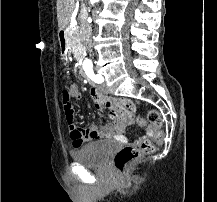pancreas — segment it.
I'll return each mask as SVG.
<instances>
[{
	"label": "pancreas",
	"mask_w": 217,
	"mask_h": 202,
	"mask_svg": "<svg viewBox=\"0 0 217 202\" xmlns=\"http://www.w3.org/2000/svg\"><path fill=\"white\" fill-rule=\"evenodd\" d=\"M69 30H72V27H69ZM80 34L78 32V30H75V32H72L71 36H70V40H69V46L71 48V52H73V54H76L78 48H80Z\"/></svg>",
	"instance_id": "pancreas-1"
}]
</instances>
